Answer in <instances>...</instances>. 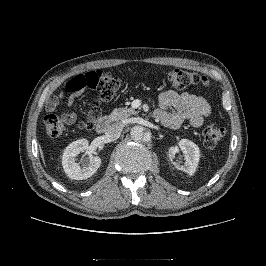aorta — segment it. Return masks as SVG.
I'll return each instance as SVG.
<instances>
[{"instance_id": "1", "label": "aorta", "mask_w": 266, "mask_h": 266, "mask_svg": "<svg viewBox=\"0 0 266 266\" xmlns=\"http://www.w3.org/2000/svg\"><path fill=\"white\" fill-rule=\"evenodd\" d=\"M130 135L134 141H148L151 138L150 133L145 132L144 128L139 125L132 127Z\"/></svg>"}]
</instances>
